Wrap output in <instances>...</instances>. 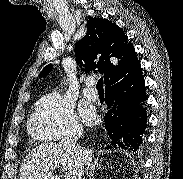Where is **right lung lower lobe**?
I'll return each mask as SVG.
<instances>
[{"instance_id":"obj_1","label":"right lung lower lobe","mask_w":183,"mask_h":179,"mask_svg":"<svg viewBox=\"0 0 183 179\" xmlns=\"http://www.w3.org/2000/svg\"><path fill=\"white\" fill-rule=\"evenodd\" d=\"M105 90L109 108L104 117L109 137L106 149L122 148L134 153L143 143L147 121L140 63L131 73L108 84Z\"/></svg>"}]
</instances>
